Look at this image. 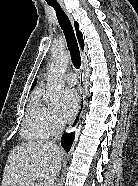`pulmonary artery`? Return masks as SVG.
<instances>
[{
  "mask_svg": "<svg viewBox=\"0 0 138 186\" xmlns=\"http://www.w3.org/2000/svg\"><path fill=\"white\" fill-rule=\"evenodd\" d=\"M65 81L67 82V84L71 85V86H74L78 83V79H77V76L76 74L74 73H67L65 75Z\"/></svg>",
  "mask_w": 138,
  "mask_h": 186,
  "instance_id": "1",
  "label": "pulmonary artery"
}]
</instances>
